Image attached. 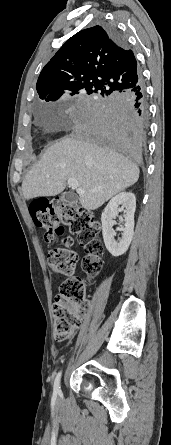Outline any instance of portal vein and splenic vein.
Masks as SVG:
<instances>
[{
  "label": "portal vein and splenic vein",
  "mask_w": 171,
  "mask_h": 445,
  "mask_svg": "<svg viewBox=\"0 0 171 445\" xmlns=\"http://www.w3.org/2000/svg\"><path fill=\"white\" fill-rule=\"evenodd\" d=\"M68 184L70 187L74 188L79 195H82L85 193V190L79 187L78 181L76 179H74V178L68 179ZM92 191L93 192L97 191V189H93Z\"/></svg>",
  "instance_id": "portal-vein-and-splenic-vein-1"
}]
</instances>
